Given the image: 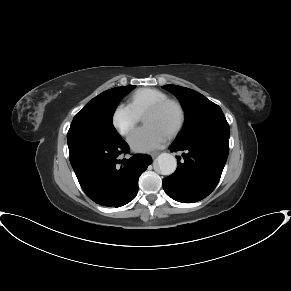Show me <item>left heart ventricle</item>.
<instances>
[{"instance_id":"b2bd125f","label":"left heart ventricle","mask_w":291,"mask_h":291,"mask_svg":"<svg viewBox=\"0 0 291 291\" xmlns=\"http://www.w3.org/2000/svg\"><path fill=\"white\" fill-rule=\"evenodd\" d=\"M143 121L169 133L177 121V112L174 107L168 106L161 111L145 114Z\"/></svg>"}]
</instances>
